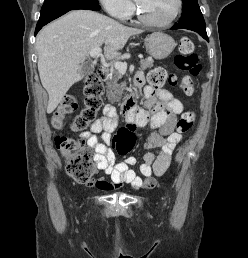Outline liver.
I'll list each match as a JSON object with an SVG mask.
<instances>
[{"instance_id": "6515ba94", "label": "liver", "mask_w": 248, "mask_h": 258, "mask_svg": "<svg viewBox=\"0 0 248 258\" xmlns=\"http://www.w3.org/2000/svg\"><path fill=\"white\" fill-rule=\"evenodd\" d=\"M143 31L89 10H74L45 26L37 36L38 71L52 113L69 88L83 78L82 64L105 44L106 58L120 55L127 40Z\"/></svg>"}]
</instances>
